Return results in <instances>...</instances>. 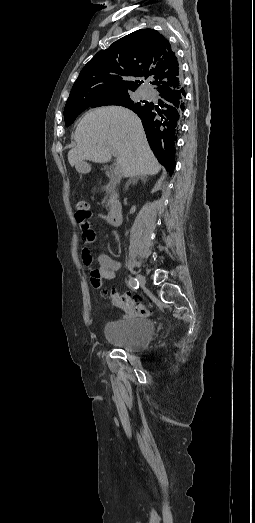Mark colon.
Here are the masks:
<instances>
[{"mask_svg":"<svg viewBox=\"0 0 255 523\" xmlns=\"http://www.w3.org/2000/svg\"><path fill=\"white\" fill-rule=\"evenodd\" d=\"M75 217L79 224L88 222V219L90 217L88 202L80 201L77 203ZM91 281L95 288L100 289V281L95 274L91 275ZM100 293L102 295H107L117 307L123 309L126 312L140 316H146L148 314L147 307L137 298L117 294L115 292L107 294L103 290H100Z\"/></svg>","mask_w":255,"mask_h":523,"instance_id":"5ec220e1","label":"colon"}]
</instances>
